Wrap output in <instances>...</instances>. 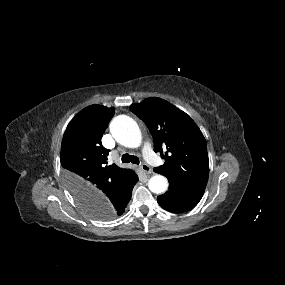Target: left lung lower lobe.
<instances>
[{"label":"left lung lower lobe","instance_id":"left-lung-lower-lobe-1","mask_svg":"<svg viewBox=\"0 0 285 285\" xmlns=\"http://www.w3.org/2000/svg\"><path fill=\"white\" fill-rule=\"evenodd\" d=\"M169 180V190L157 197L159 205L172 213L187 212L193 209L201 200L205 187L182 182L172 177Z\"/></svg>","mask_w":285,"mask_h":285}]
</instances>
